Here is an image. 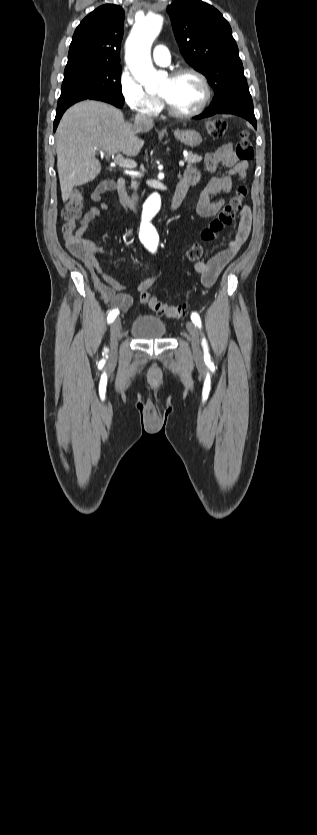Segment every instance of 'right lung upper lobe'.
<instances>
[{
    "instance_id": "cb5924a9",
    "label": "right lung upper lobe",
    "mask_w": 317,
    "mask_h": 835,
    "mask_svg": "<svg viewBox=\"0 0 317 835\" xmlns=\"http://www.w3.org/2000/svg\"><path fill=\"white\" fill-rule=\"evenodd\" d=\"M124 17V10L114 4L103 5L87 15L74 32L67 65H120Z\"/></svg>"
}]
</instances>
